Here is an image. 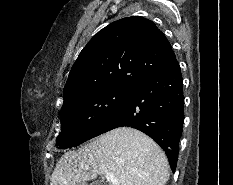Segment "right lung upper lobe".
Wrapping results in <instances>:
<instances>
[{
  "mask_svg": "<svg viewBox=\"0 0 233 185\" xmlns=\"http://www.w3.org/2000/svg\"><path fill=\"white\" fill-rule=\"evenodd\" d=\"M175 60L170 43L152 21L139 16L115 21L79 54L64 87V105L104 89H130Z\"/></svg>",
  "mask_w": 233,
  "mask_h": 185,
  "instance_id": "1",
  "label": "right lung upper lobe"
}]
</instances>
